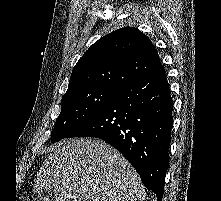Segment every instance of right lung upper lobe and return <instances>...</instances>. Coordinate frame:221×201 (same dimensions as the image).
I'll use <instances>...</instances> for the list:
<instances>
[{
    "instance_id": "right-lung-upper-lobe-1",
    "label": "right lung upper lobe",
    "mask_w": 221,
    "mask_h": 201,
    "mask_svg": "<svg viewBox=\"0 0 221 201\" xmlns=\"http://www.w3.org/2000/svg\"><path fill=\"white\" fill-rule=\"evenodd\" d=\"M160 65L149 38L137 29L121 28L100 38L79 59L67 92L89 87L120 90Z\"/></svg>"
}]
</instances>
